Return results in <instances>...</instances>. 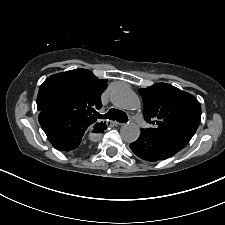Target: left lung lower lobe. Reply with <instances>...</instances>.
<instances>
[{"mask_svg": "<svg viewBox=\"0 0 225 225\" xmlns=\"http://www.w3.org/2000/svg\"><path fill=\"white\" fill-rule=\"evenodd\" d=\"M189 141L190 139L184 137H157L141 131L139 138L130 144V148L141 159L155 162L173 156Z\"/></svg>", "mask_w": 225, "mask_h": 225, "instance_id": "obj_1", "label": "left lung lower lobe"}]
</instances>
